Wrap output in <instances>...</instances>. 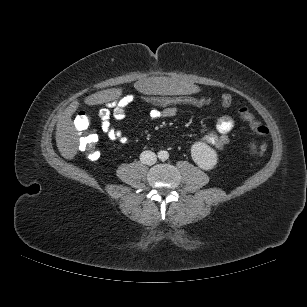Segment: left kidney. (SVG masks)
<instances>
[{"mask_svg":"<svg viewBox=\"0 0 307 307\" xmlns=\"http://www.w3.org/2000/svg\"><path fill=\"white\" fill-rule=\"evenodd\" d=\"M193 161L203 170H210L217 164L218 155L214 149L202 141L195 142L191 147Z\"/></svg>","mask_w":307,"mask_h":307,"instance_id":"left-kidney-1","label":"left kidney"}]
</instances>
